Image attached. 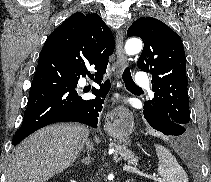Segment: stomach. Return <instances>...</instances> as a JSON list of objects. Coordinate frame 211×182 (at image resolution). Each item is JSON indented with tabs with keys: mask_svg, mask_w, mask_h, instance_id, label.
Wrapping results in <instances>:
<instances>
[{
	"mask_svg": "<svg viewBox=\"0 0 211 182\" xmlns=\"http://www.w3.org/2000/svg\"><path fill=\"white\" fill-rule=\"evenodd\" d=\"M129 132L124 130V131H112V135L114 138H116L120 143H123V144H128L129 141H128V134Z\"/></svg>",
	"mask_w": 211,
	"mask_h": 182,
	"instance_id": "1",
	"label": "stomach"
}]
</instances>
